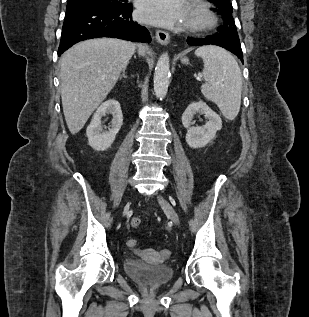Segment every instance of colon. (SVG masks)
Instances as JSON below:
<instances>
[{
    "instance_id": "5ec220e1",
    "label": "colon",
    "mask_w": 309,
    "mask_h": 317,
    "mask_svg": "<svg viewBox=\"0 0 309 317\" xmlns=\"http://www.w3.org/2000/svg\"><path fill=\"white\" fill-rule=\"evenodd\" d=\"M141 224V219L139 217H133L131 220V226L136 228ZM129 247H135L137 245V241L135 239H129L127 241ZM166 253V252H165Z\"/></svg>"
}]
</instances>
